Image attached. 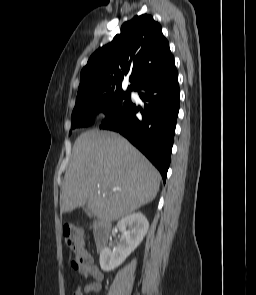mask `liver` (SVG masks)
Instances as JSON below:
<instances>
[{
	"label": "liver",
	"instance_id": "6515ba94",
	"mask_svg": "<svg viewBox=\"0 0 256 295\" xmlns=\"http://www.w3.org/2000/svg\"><path fill=\"white\" fill-rule=\"evenodd\" d=\"M160 181L158 170L125 138L92 129L74 143L61 212L87 204L100 220H118L153 201Z\"/></svg>",
	"mask_w": 256,
	"mask_h": 295
}]
</instances>
